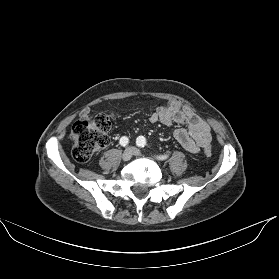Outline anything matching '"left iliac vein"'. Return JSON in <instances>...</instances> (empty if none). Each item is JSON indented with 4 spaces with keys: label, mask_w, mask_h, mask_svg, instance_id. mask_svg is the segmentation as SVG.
<instances>
[{
    "label": "left iliac vein",
    "mask_w": 279,
    "mask_h": 279,
    "mask_svg": "<svg viewBox=\"0 0 279 279\" xmlns=\"http://www.w3.org/2000/svg\"><path fill=\"white\" fill-rule=\"evenodd\" d=\"M132 149H133V155H135V156H140L141 155V152L139 151V149L134 148V147H132Z\"/></svg>",
    "instance_id": "1"
}]
</instances>
